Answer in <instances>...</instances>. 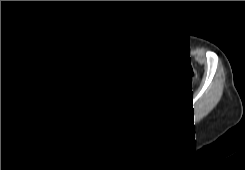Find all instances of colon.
I'll return each instance as SVG.
<instances>
[{"instance_id":"colon-1","label":"colon","mask_w":245,"mask_h":170,"mask_svg":"<svg viewBox=\"0 0 245 170\" xmlns=\"http://www.w3.org/2000/svg\"><path fill=\"white\" fill-rule=\"evenodd\" d=\"M124 62H141L145 72H149L156 63L170 69L173 86L178 93L190 91L195 76L190 53H177V57L171 52L169 55L156 56L153 51H129L120 49L105 55H94L80 63V67L72 73L68 71H53L43 80L42 87L49 97H52L61 107L70 105L71 100L77 95L78 87L83 81L91 79L94 73L102 71L104 67L116 66ZM115 91L118 90L116 85Z\"/></svg>"}]
</instances>
